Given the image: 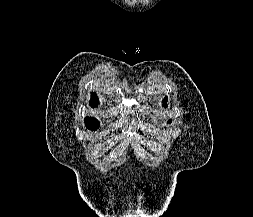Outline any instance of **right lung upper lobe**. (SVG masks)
<instances>
[{
	"instance_id": "obj_1",
	"label": "right lung upper lobe",
	"mask_w": 253,
	"mask_h": 217,
	"mask_svg": "<svg viewBox=\"0 0 253 217\" xmlns=\"http://www.w3.org/2000/svg\"><path fill=\"white\" fill-rule=\"evenodd\" d=\"M99 103L97 95L95 93L91 94V106H96ZM86 125H99L98 120L92 117H86L84 119Z\"/></svg>"
}]
</instances>
